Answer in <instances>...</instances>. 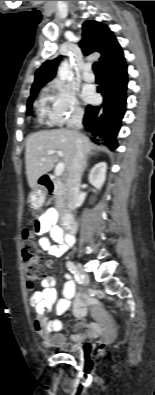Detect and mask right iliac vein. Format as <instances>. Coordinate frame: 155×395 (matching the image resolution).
I'll return each instance as SVG.
<instances>
[{
  "label": "right iliac vein",
  "instance_id": "63e3f726",
  "mask_svg": "<svg viewBox=\"0 0 155 395\" xmlns=\"http://www.w3.org/2000/svg\"><path fill=\"white\" fill-rule=\"evenodd\" d=\"M77 270L80 273V275L82 276L83 281L88 284L90 281L89 275L86 273V271L84 270V268L82 267V265L80 263H77Z\"/></svg>",
  "mask_w": 155,
  "mask_h": 395
}]
</instances>
